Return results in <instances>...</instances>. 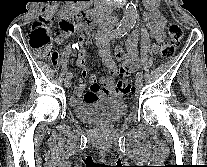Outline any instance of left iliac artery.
I'll list each match as a JSON object with an SVG mask.
<instances>
[{"label":"left iliac artery","instance_id":"obj_1","mask_svg":"<svg viewBox=\"0 0 207 167\" xmlns=\"http://www.w3.org/2000/svg\"><path fill=\"white\" fill-rule=\"evenodd\" d=\"M122 36H123V34H117V35L114 36V38H120ZM136 76H141L142 77L143 73L141 71H139V72H137Z\"/></svg>","mask_w":207,"mask_h":167}]
</instances>
